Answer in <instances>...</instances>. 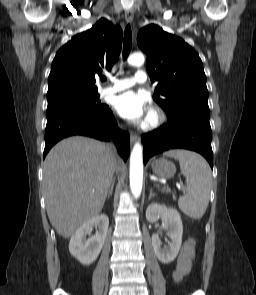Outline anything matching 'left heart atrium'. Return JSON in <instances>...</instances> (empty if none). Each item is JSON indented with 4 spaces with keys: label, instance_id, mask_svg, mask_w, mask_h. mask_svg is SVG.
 Listing matches in <instances>:
<instances>
[{
    "label": "left heart atrium",
    "instance_id": "obj_1",
    "mask_svg": "<svg viewBox=\"0 0 256 295\" xmlns=\"http://www.w3.org/2000/svg\"><path fill=\"white\" fill-rule=\"evenodd\" d=\"M113 106L123 118L131 122H143L148 116L146 98L135 91H127L117 96Z\"/></svg>",
    "mask_w": 256,
    "mask_h": 295
}]
</instances>
